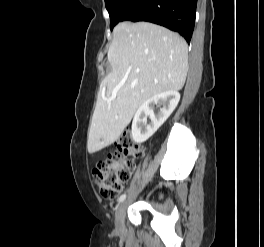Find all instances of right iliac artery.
Returning <instances> with one entry per match:
<instances>
[{
	"label": "right iliac artery",
	"mask_w": 264,
	"mask_h": 247,
	"mask_svg": "<svg viewBox=\"0 0 264 247\" xmlns=\"http://www.w3.org/2000/svg\"><path fill=\"white\" fill-rule=\"evenodd\" d=\"M125 198H126V195H125V194H122V195L119 197L118 201H119V202H123V201L125 200Z\"/></svg>",
	"instance_id": "82829eb1"
}]
</instances>
